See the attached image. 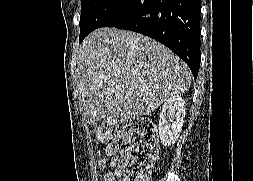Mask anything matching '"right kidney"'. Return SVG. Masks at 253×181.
I'll return each instance as SVG.
<instances>
[{
  "mask_svg": "<svg viewBox=\"0 0 253 181\" xmlns=\"http://www.w3.org/2000/svg\"><path fill=\"white\" fill-rule=\"evenodd\" d=\"M185 116V101L179 95L165 100L159 118V136L164 146L173 145L182 130Z\"/></svg>",
  "mask_w": 253,
  "mask_h": 181,
  "instance_id": "1",
  "label": "right kidney"
}]
</instances>
